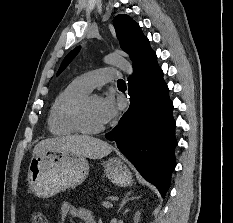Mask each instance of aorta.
Here are the masks:
<instances>
[{"label": "aorta", "instance_id": "aorta-1", "mask_svg": "<svg viewBox=\"0 0 233 223\" xmlns=\"http://www.w3.org/2000/svg\"><path fill=\"white\" fill-rule=\"evenodd\" d=\"M104 60L105 64L116 66V68H120V70H123L126 74H133V68L130 62H127V60H124V58H122V56H118V54H110V56H106Z\"/></svg>", "mask_w": 233, "mask_h": 223}]
</instances>
